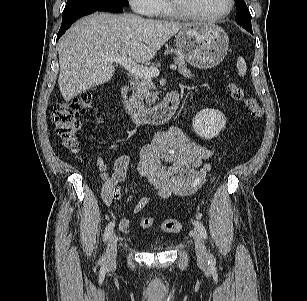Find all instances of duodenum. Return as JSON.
<instances>
[{
    "label": "duodenum",
    "instance_id": "1",
    "mask_svg": "<svg viewBox=\"0 0 307 301\" xmlns=\"http://www.w3.org/2000/svg\"><path fill=\"white\" fill-rule=\"evenodd\" d=\"M178 90L168 92L161 103L154 107H145L129 97V87L121 89V102L136 124L160 125L168 121L176 112L179 104Z\"/></svg>",
    "mask_w": 307,
    "mask_h": 301
}]
</instances>
